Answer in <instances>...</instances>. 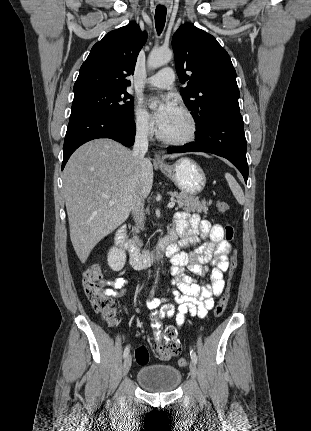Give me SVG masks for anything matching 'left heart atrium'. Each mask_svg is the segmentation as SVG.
<instances>
[{"mask_svg":"<svg viewBox=\"0 0 311 431\" xmlns=\"http://www.w3.org/2000/svg\"><path fill=\"white\" fill-rule=\"evenodd\" d=\"M181 111L176 98L167 96L158 102L154 117L160 129L165 128Z\"/></svg>","mask_w":311,"mask_h":431,"instance_id":"left-heart-atrium-1","label":"left heart atrium"}]
</instances>
